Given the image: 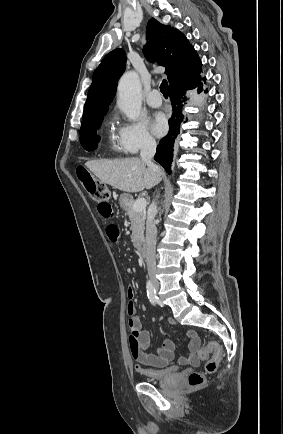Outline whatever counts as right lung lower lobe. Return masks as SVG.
I'll list each match as a JSON object with an SVG mask.
<instances>
[{"instance_id":"98d812e1","label":"right lung lower lobe","mask_w":283,"mask_h":434,"mask_svg":"<svg viewBox=\"0 0 283 434\" xmlns=\"http://www.w3.org/2000/svg\"><path fill=\"white\" fill-rule=\"evenodd\" d=\"M205 80L206 78H203V81ZM196 87H199L198 93H200L202 90L201 79L192 85H174L170 87V99L173 108L172 117L169 119L170 130L168 135L159 142V145L157 146V152L154 157V159L160 163L169 174H171L174 142L177 135L179 134L180 123L183 121L184 117L182 114V108L185 101L187 100V98L184 97V92Z\"/></svg>"}]
</instances>
